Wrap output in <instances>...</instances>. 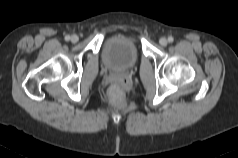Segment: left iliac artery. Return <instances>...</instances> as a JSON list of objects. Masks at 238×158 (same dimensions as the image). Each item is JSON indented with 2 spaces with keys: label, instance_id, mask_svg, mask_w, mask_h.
Returning <instances> with one entry per match:
<instances>
[{
  "label": "left iliac artery",
  "instance_id": "44dca946",
  "mask_svg": "<svg viewBox=\"0 0 238 158\" xmlns=\"http://www.w3.org/2000/svg\"><path fill=\"white\" fill-rule=\"evenodd\" d=\"M168 41H169L170 43H172V42L174 41V38H173L172 36H169V37H168Z\"/></svg>",
  "mask_w": 238,
  "mask_h": 158
}]
</instances>
